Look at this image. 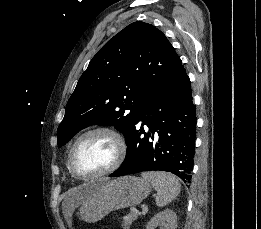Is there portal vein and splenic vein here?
Segmentation results:
<instances>
[{
	"label": "portal vein and splenic vein",
	"mask_w": 261,
	"mask_h": 229,
	"mask_svg": "<svg viewBox=\"0 0 261 229\" xmlns=\"http://www.w3.org/2000/svg\"><path fill=\"white\" fill-rule=\"evenodd\" d=\"M141 207H142V211L140 208H137V209H133L132 213L133 214L138 213V215H140V217H143V215H146V213L148 212V206L145 203H142ZM142 212H143V214H142ZM124 219H128V217H124Z\"/></svg>",
	"instance_id": "18ae733b"
}]
</instances>
